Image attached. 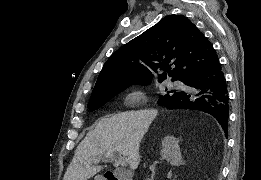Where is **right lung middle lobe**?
<instances>
[{
    "label": "right lung middle lobe",
    "instance_id": "right-lung-middle-lobe-1",
    "mask_svg": "<svg viewBox=\"0 0 261 180\" xmlns=\"http://www.w3.org/2000/svg\"><path fill=\"white\" fill-rule=\"evenodd\" d=\"M174 81V80H173ZM162 82V81H160ZM145 85V84H144ZM119 91H116V92H113V93H110V94H107V95H104V96H99V97H96V98H93V99H90L89 103H88V108L93 111V110H96L98 109L99 107L103 106L107 101H109L110 99H112L115 95H117ZM168 93H171V94H166L164 96H159V100H158V103H162L163 101L171 98L174 94H176L177 92L172 90Z\"/></svg>",
    "mask_w": 261,
    "mask_h": 180
}]
</instances>
